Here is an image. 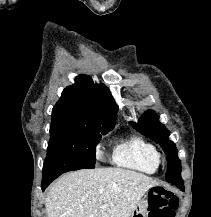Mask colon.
<instances>
[{
  "label": "colon",
  "mask_w": 211,
  "mask_h": 217,
  "mask_svg": "<svg viewBox=\"0 0 211 217\" xmlns=\"http://www.w3.org/2000/svg\"><path fill=\"white\" fill-rule=\"evenodd\" d=\"M178 197L162 187L155 188L149 197V217H174Z\"/></svg>",
  "instance_id": "colon-1"
}]
</instances>
